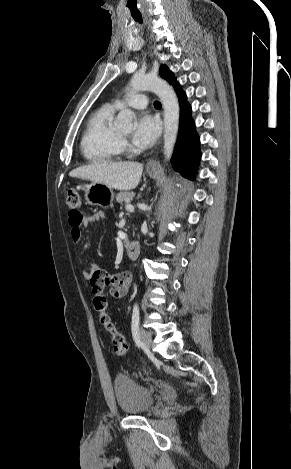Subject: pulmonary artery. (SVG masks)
Masks as SVG:
<instances>
[{"label":"pulmonary artery","instance_id":"obj_1","mask_svg":"<svg viewBox=\"0 0 291 469\" xmlns=\"http://www.w3.org/2000/svg\"><path fill=\"white\" fill-rule=\"evenodd\" d=\"M114 105L117 108L130 106L135 109H144L148 105V97L144 93L133 94L124 101H115Z\"/></svg>","mask_w":291,"mask_h":469}]
</instances>
